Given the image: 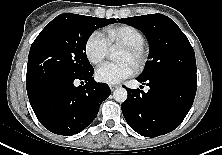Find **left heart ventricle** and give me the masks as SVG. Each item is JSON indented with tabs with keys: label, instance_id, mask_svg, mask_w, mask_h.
Segmentation results:
<instances>
[{
	"label": "left heart ventricle",
	"instance_id": "1",
	"mask_svg": "<svg viewBox=\"0 0 222 155\" xmlns=\"http://www.w3.org/2000/svg\"><path fill=\"white\" fill-rule=\"evenodd\" d=\"M119 60L130 62L133 66L135 64V59L124 49L120 53Z\"/></svg>",
	"mask_w": 222,
	"mask_h": 155
}]
</instances>
